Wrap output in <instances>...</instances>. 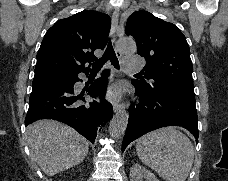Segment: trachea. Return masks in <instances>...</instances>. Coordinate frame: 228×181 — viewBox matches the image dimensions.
Wrapping results in <instances>:
<instances>
[{"label": "trachea", "mask_w": 228, "mask_h": 181, "mask_svg": "<svg viewBox=\"0 0 228 181\" xmlns=\"http://www.w3.org/2000/svg\"><path fill=\"white\" fill-rule=\"evenodd\" d=\"M108 60H110V62L116 69H119V61L116 53L114 52L111 40H109L108 42L104 55L92 64V72L99 71Z\"/></svg>", "instance_id": "obj_1"}]
</instances>
